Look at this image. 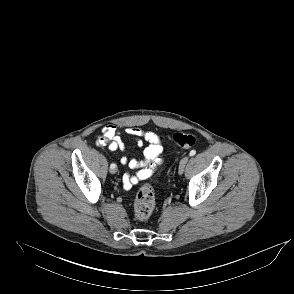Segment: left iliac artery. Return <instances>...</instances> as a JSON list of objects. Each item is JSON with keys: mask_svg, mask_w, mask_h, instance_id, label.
<instances>
[{"mask_svg": "<svg viewBox=\"0 0 294 294\" xmlns=\"http://www.w3.org/2000/svg\"><path fill=\"white\" fill-rule=\"evenodd\" d=\"M196 154V151L195 150H191L190 153H189V156H194Z\"/></svg>", "mask_w": 294, "mask_h": 294, "instance_id": "obj_1", "label": "left iliac artery"}]
</instances>
